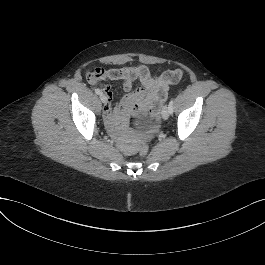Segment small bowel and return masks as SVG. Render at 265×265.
I'll list each match as a JSON object with an SVG mask.
<instances>
[{"mask_svg":"<svg viewBox=\"0 0 265 265\" xmlns=\"http://www.w3.org/2000/svg\"><path fill=\"white\" fill-rule=\"evenodd\" d=\"M105 62L123 64L125 60L120 58ZM103 72L104 75L100 80L90 82L100 84L107 98L103 116L106 126L112 132L117 131L131 115L158 112L167 97L169 87L178 82L183 74L182 70L174 69L154 77L144 64L126 65L103 70ZM107 80L121 81L126 92L114 108L111 106L113 92L111 87L104 83ZM135 81H139L140 87L132 89Z\"/></svg>","mask_w":265,"mask_h":265,"instance_id":"obj_1","label":"small bowel"}]
</instances>
